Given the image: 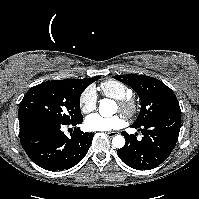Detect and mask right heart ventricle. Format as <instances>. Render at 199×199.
<instances>
[{
  "label": "right heart ventricle",
  "instance_id": "right-heart-ventricle-1",
  "mask_svg": "<svg viewBox=\"0 0 199 199\" xmlns=\"http://www.w3.org/2000/svg\"><path fill=\"white\" fill-rule=\"evenodd\" d=\"M101 91L105 96L122 100L133 95V89L120 81L109 80L101 84Z\"/></svg>",
  "mask_w": 199,
  "mask_h": 199
}]
</instances>
